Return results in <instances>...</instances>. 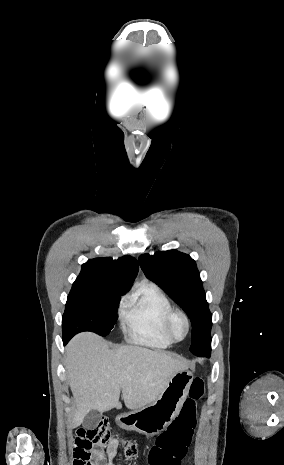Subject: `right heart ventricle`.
<instances>
[{
  "label": "right heart ventricle",
  "instance_id": "e07e8e85",
  "mask_svg": "<svg viewBox=\"0 0 284 465\" xmlns=\"http://www.w3.org/2000/svg\"><path fill=\"white\" fill-rule=\"evenodd\" d=\"M174 306L156 284L147 283L122 308L120 328L125 339L138 346H171L163 323Z\"/></svg>",
  "mask_w": 284,
  "mask_h": 465
}]
</instances>
